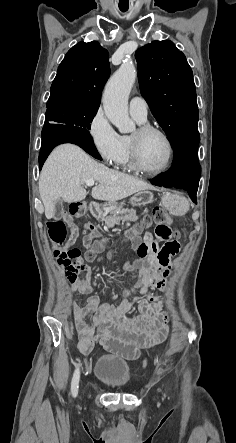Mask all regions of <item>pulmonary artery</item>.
I'll return each instance as SVG.
<instances>
[{
  "mask_svg": "<svg viewBox=\"0 0 236 443\" xmlns=\"http://www.w3.org/2000/svg\"><path fill=\"white\" fill-rule=\"evenodd\" d=\"M129 112L134 119L145 121L148 114V104L144 98L134 96L129 103Z\"/></svg>",
  "mask_w": 236,
  "mask_h": 443,
  "instance_id": "obj_1",
  "label": "pulmonary artery"
}]
</instances>
